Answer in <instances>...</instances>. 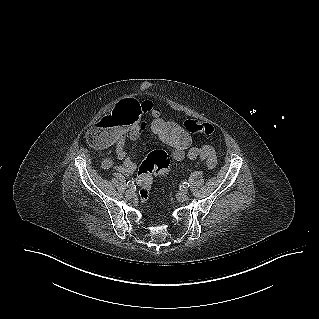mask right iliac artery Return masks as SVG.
Masks as SVG:
<instances>
[{
    "label": "right iliac artery",
    "instance_id": "82829eb1",
    "mask_svg": "<svg viewBox=\"0 0 319 319\" xmlns=\"http://www.w3.org/2000/svg\"><path fill=\"white\" fill-rule=\"evenodd\" d=\"M127 186L128 187H133L134 186V182L132 180L127 182Z\"/></svg>",
    "mask_w": 319,
    "mask_h": 319
}]
</instances>
